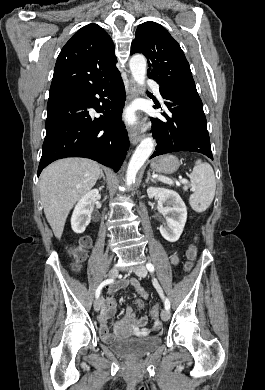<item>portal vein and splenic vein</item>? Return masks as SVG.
<instances>
[{"instance_id": "18ae733b", "label": "portal vein and splenic vein", "mask_w": 265, "mask_h": 390, "mask_svg": "<svg viewBox=\"0 0 265 390\" xmlns=\"http://www.w3.org/2000/svg\"><path fill=\"white\" fill-rule=\"evenodd\" d=\"M158 180H160L161 182H164V183H167V184H170L172 185L174 182L172 179L168 178V177H159ZM188 181L187 180H181V183H187Z\"/></svg>"}]
</instances>
